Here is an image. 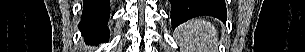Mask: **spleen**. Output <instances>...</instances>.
<instances>
[{
  "label": "spleen",
  "instance_id": "1",
  "mask_svg": "<svg viewBox=\"0 0 305 52\" xmlns=\"http://www.w3.org/2000/svg\"><path fill=\"white\" fill-rule=\"evenodd\" d=\"M176 33L188 52H217L218 33L209 21L191 19L180 25Z\"/></svg>",
  "mask_w": 305,
  "mask_h": 52
}]
</instances>
